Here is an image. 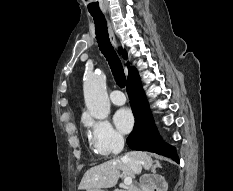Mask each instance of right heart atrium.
<instances>
[{
    "mask_svg": "<svg viewBox=\"0 0 233 191\" xmlns=\"http://www.w3.org/2000/svg\"><path fill=\"white\" fill-rule=\"evenodd\" d=\"M94 150L107 156L123 145V136L107 120H87Z\"/></svg>",
    "mask_w": 233,
    "mask_h": 191,
    "instance_id": "obj_1",
    "label": "right heart atrium"
}]
</instances>
